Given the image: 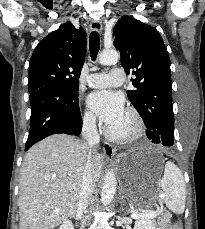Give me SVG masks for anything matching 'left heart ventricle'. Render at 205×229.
<instances>
[{
	"label": "left heart ventricle",
	"instance_id": "left-heart-ventricle-1",
	"mask_svg": "<svg viewBox=\"0 0 205 229\" xmlns=\"http://www.w3.org/2000/svg\"><path fill=\"white\" fill-rule=\"evenodd\" d=\"M109 128L116 134H126L132 129V119L124 113L121 119Z\"/></svg>",
	"mask_w": 205,
	"mask_h": 229
}]
</instances>
